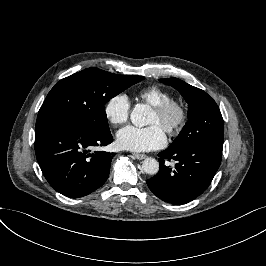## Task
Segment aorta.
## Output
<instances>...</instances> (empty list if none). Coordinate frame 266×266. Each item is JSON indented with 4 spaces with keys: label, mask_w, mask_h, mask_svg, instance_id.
Wrapping results in <instances>:
<instances>
[{
    "label": "aorta",
    "mask_w": 266,
    "mask_h": 266,
    "mask_svg": "<svg viewBox=\"0 0 266 266\" xmlns=\"http://www.w3.org/2000/svg\"><path fill=\"white\" fill-rule=\"evenodd\" d=\"M151 109L146 104L135 105L130 114L131 122L136 127H144L149 124L148 116ZM143 171L148 175H156L159 171V162L154 158H146L142 163Z\"/></svg>",
    "instance_id": "1"
}]
</instances>
